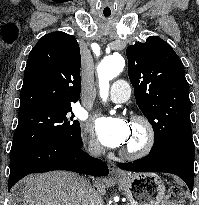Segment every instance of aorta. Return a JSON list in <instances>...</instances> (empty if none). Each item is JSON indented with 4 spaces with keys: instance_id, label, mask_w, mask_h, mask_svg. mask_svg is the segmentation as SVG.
<instances>
[{
    "instance_id": "obj_1",
    "label": "aorta",
    "mask_w": 199,
    "mask_h": 205,
    "mask_svg": "<svg viewBox=\"0 0 199 205\" xmlns=\"http://www.w3.org/2000/svg\"><path fill=\"white\" fill-rule=\"evenodd\" d=\"M125 66V60L120 54L105 57L97 67L100 96L106 101L109 92V81L118 76Z\"/></svg>"
}]
</instances>
